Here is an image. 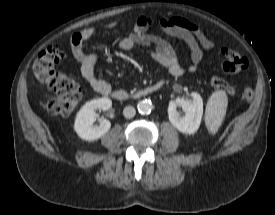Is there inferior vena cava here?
I'll use <instances>...</instances> for the list:
<instances>
[{
  "label": "inferior vena cava",
  "mask_w": 275,
  "mask_h": 215,
  "mask_svg": "<svg viewBox=\"0 0 275 215\" xmlns=\"http://www.w3.org/2000/svg\"><path fill=\"white\" fill-rule=\"evenodd\" d=\"M136 114V110L134 107L132 106H126L123 110V115L126 117V118H132L134 117Z\"/></svg>",
  "instance_id": "inferior-vena-cava-1"
}]
</instances>
